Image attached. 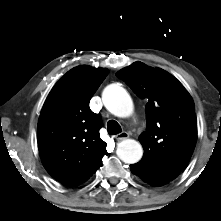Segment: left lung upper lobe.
<instances>
[{"instance_id": "1", "label": "left lung upper lobe", "mask_w": 221, "mask_h": 221, "mask_svg": "<svg viewBox=\"0 0 221 221\" xmlns=\"http://www.w3.org/2000/svg\"><path fill=\"white\" fill-rule=\"evenodd\" d=\"M141 99H146V131L139 136L143 158L131 165L152 186L175 179L188 164L196 144L194 102L168 72L139 61L116 73Z\"/></svg>"}]
</instances>
